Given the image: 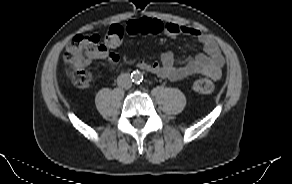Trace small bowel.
<instances>
[{
    "label": "small bowel",
    "mask_w": 292,
    "mask_h": 184,
    "mask_svg": "<svg viewBox=\"0 0 292 184\" xmlns=\"http://www.w3.org/2000/svg\"><path fill=\"white\" fill-rule=\"evenodd\" d=\"M145 19L152 18L141 17L127 21L123 27L124 31L129 35L142 34L140 25ZM154 20L161 24L160 33L169 37H176L182 34L191 36L202 44L204 52L191 57L185 62H180L171 51H166L161 54L160 62L148 63L140 60L138 62L139 68L171 81L182 80L193 75L209 76L214 80L221 78L224 57L211 35L195 27ZM95 59H106L110 67L113 68L118 62L119 56L105 51L97 55Z\"/></svg>",
    "instance_id": "1"
}]
</instances>
